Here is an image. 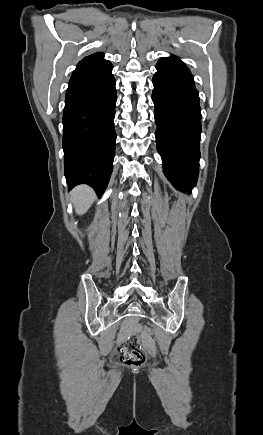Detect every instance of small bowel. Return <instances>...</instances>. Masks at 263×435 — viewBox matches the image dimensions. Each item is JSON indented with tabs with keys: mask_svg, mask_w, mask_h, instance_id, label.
I'll return each instance as SVG.
<instances>
[{
	"mask_svg": "<svg viewBox=\"0 0 263 435\" xmlns=\"http://www.w3.org/2000/svg\"><path fill=\"white\" fill-rule=\"evenodd\" d=\"M144 348L146 350H153L155 348V343L153 341H146L144 343Z\"/></svg>",
	"mask_w": 263,
	"mask_h": 435,
	"instance_id": "small-bowel-1",
	"label": "small bowel"
}]
</instances>
